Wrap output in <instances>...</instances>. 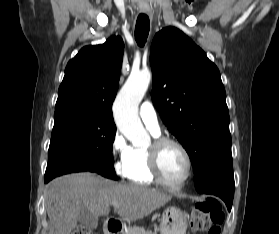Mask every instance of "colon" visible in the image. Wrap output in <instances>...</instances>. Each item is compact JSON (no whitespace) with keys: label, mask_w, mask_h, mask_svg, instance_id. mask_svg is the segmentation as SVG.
I'll use <instances>...</instances> for the list:
<instances>
[{"label":"colon","mask_w":279,"mask_h":234,"mask_svg":"<svg viewBox=\"0 0 279 234\" xmlns=\"http://www.w3.org/2000/svg\"><path fill=\"white\" fill-rule=\"evenodd\" d=\"M224 221V211L221 202L216 198H209L195 205L190 218L193 231H208V234H221V225ZM72 234H91L84 227H80Z\"/></svg>","instance_id":"1"}]
</instances>
